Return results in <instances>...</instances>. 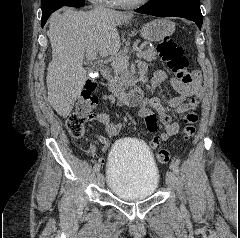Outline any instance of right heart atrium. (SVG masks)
I'll use <instances>...</instances> for the list:
<instances>
[{
    "mask_svg": "<svg viewBox=\"0 0 240 238\" xmlns=\"http://www.w3.org/2000/svg\"><path fill=\"white\" fill-rule=\"evenodd\" d=\"M90 1H105V2H111V0H90Z\"/></svg>",
    "mask_w": 240,
    "mask_h": 238,
    "instance_id": "1",
    "label": "right heart atrium"
}]
</instances>
